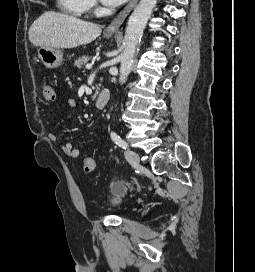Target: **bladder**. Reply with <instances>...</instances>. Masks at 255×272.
<instances>
[{
	"label": "bladder",
	"mask_w": 255,
	"mask_h": 272,
	"mask_svg": "<svg viewBox=\"0 0 255 272\" xmlns=\"http://www.w3.org/2000/svg\"><path fill=\"white\" fill-rule=\"evenodd\" d=\"M124 202V193L121 192H112L106 197V205L109 208L116 209L123 205Z\"/></svg>",
	"instance_id": "31cf9c89"
}]
</instances>
